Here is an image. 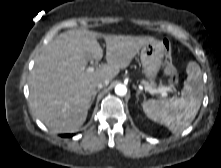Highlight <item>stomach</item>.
I'll return each instance as SVG.
<instances>
[{
	"label": "stomach",
	"instance_id": "stomach-1",
	"mask_svg": "<svg viewBox=\"0 0 221 168\" xmlns=\"http://www.w3.org/2000/svg\"><path fill=\"white\" fill-rule=\"evenodd\" d=\"M165 46L162 41L154 40L143 46L140 53V60L143 66V73L150 82H153L161 69L164 58Z\"/></svg>",
	"mask_w": 221,
	"mask_h": 168
}]
</instances>
